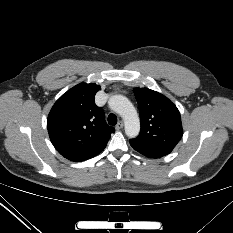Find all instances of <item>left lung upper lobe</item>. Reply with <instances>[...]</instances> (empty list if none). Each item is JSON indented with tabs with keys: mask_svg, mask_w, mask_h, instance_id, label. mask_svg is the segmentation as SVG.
Masks as SVG:
<instances>
[{
	"mask_svg": "<svg viewBox=\"0 0 233 233\" xmlns=\"http://www.w3.org/2000/svg\"><path fill=\"white\" fill-rule=\"evenodd\" d=\"M133 91L139 106L141 130L131 141L153 154L168 155L183 134L179 110L156 91L146 88Z\"/></svg>",
	"mask_w": 233,
	"mask_h": 233,
	"instance_id": "1",
	"label": "left lung upper lobe"
}]
</instances>
